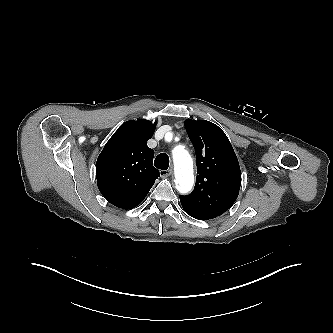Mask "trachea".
I'll return each instance as SVG.
<instances>
[{"label": "trachea", "mask_w": 333, "mask_h": 333, "mask_svg": "<svg viewBox=\"0 0 333 333\" xmlns=\"http://www.w3.org/2000/svg\"><path fill=\"white\" fill-rule=\"evenodd\" d=\"M154 166L161 170H167L169 167V157L165 153H160L154 161Z\"/></svg>", "instance_id": "obj_1"}]
</instances>
